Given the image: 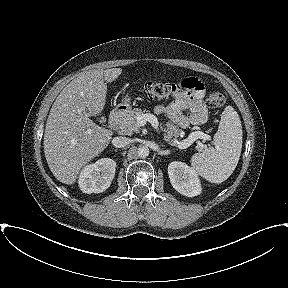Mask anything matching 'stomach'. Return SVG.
<instances>
[{"label": "stomach", "mask_w": 288, "mask_h": 288, "mask_svg": "<svg viewBox=\"0 0 288 288\" xmlns=\"http://www.w3.org/2000/svg\"><path fill=\"white\" fill-rule=\"evenodd\" d=\"M130 97L126 95L120 104L117 105V110L121 112H127L130 109Z\"/></svg>", "instance_id": "stomach-1"}]
</instances>
